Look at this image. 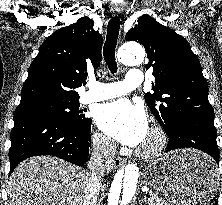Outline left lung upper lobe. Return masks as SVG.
Returning <instances> with one entry per match:
<instances>
[{"label":"left lung upper lobe","instance_id":"obj_1","mask_svg":"<svg viewBox=\"0 0 222 205\" xmlns=\"http://www.w3.org/2000/svg\"><path fill=\"white\" fill-rule=\"evenodd\" d=\"M126 40L138 41L146 50V69H153L155 81L154 93H146L145 100L167 134L187 115L214 118L200 62L182 36L142 15Z\"/></svg>","mask_w":222,"mask_h":205}]
</instances>
